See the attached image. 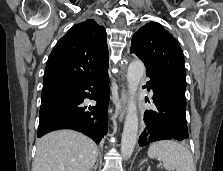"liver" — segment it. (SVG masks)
Segmentation results:
<instances>
[{"mask_svg": "<svg viewBox=\"0 0 223 171\" xmlns=\"http://www.w3.org/2000/svg\"><path fill=\"white\" fill-rule=\"evenodd\" d=\"M97 157V145L89 137L58 130L38 140L32 171H90Z\"/></svg>", "mask_w": 223, "mask_h": 171, "instance_id": "obj_1", "label": "liver"}]
</instances>
